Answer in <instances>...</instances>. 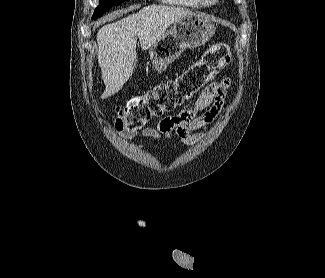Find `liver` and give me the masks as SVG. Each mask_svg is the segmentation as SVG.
Here are the masks:
<instances>
[{
	"label": "liver",
	"instance_id": "obj_1",
	"mask_svg": "<svg viewBox=\"0 0 325 278\" xmlns=\"http://www.w3.org/2000/svg\"><path fill=\"white\" fill-rule=\"evenodd\" d=\"M123 12L117 13L121 15ZM194 13L181 7L151 5L97 32V58L105 91L102 98L117 93L132 76L136 60V37L143 50L159 41L167 28Z\"/></svg>",
	"mask_w": 325,
	"mask_h": 278
}]
</instances>
